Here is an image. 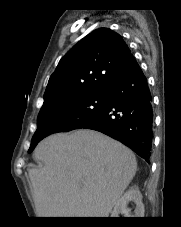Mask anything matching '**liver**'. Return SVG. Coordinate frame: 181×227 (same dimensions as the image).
<instances>
[{"instance_id":"6515ba94","label":"liver","mask_w":181,"mask_h":227,"mask_svg":"<svg viewBox=\"0 0 181 227\" xmlns=\"http://www.w3.org/2000/svg\"><path fill=\"white\" fill-rule=\"evenodd\" d=\"M40 169H30L39 217H108L135 176L134 153L94 130L55 134L35 151Z\"/></svg>"}]
</instances>
